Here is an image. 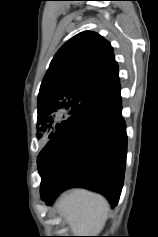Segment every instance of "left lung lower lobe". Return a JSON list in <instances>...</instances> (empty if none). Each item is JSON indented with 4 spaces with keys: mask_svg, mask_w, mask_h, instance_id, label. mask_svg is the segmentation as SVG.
Wrapping results in <instances>:
<instances>
[{
    "mask_svg": "<svg viewBox=\"0 0 158 237\" xmlns=\"http://www.w3.org/2000/svg\"><path fill=\"white\" fill-rule=\"evenodd\" d=\"M127 137L119 83L72 114L38 156L41 198L50 204L62 191L83 187L116 206L123 185Z\"/></svg>",
    "mask_w": 158,
    "mask_h": 237,
    "instance_id": "left-lung-lower-lobe-1",
    "label": "left lung lower lobe"
}]
</instances>
